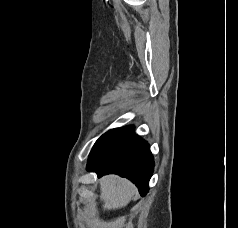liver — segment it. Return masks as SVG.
<instances>
[{"instance_id":"obj_1","label":"liver","mask_w":238,"mask_h":228,"mask_svg":"<svg viewBox=\"0 0 238 228\" xmlns=\"http://www.w3.org/2000/svg\"><path fill=\"white\" fill-rule=\"evenodd\" d=\"M136 193V187L127 179L108 175L100 179V200L107 210L121 209L128 205Z\"/></svg>"}]
</instances>
